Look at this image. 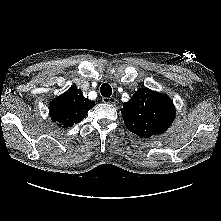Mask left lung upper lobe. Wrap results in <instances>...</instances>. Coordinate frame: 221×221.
Returning a JSON list of instances; mask_svg holds the SVG:
<instances>
[{
  "label": "left lung upper lobe",
  "mask_w": 221,
  "mask_h": 221,
  "mask_svg": "<svg viewBox=\"0 0 221 221\" xmlns=\"http://www.w3.org/2000/svg\"><path fill=\"white\" fill-rule=\"evenodd\" d=\"M121 113L129 131L140 137H150L170 127L175 107L168 96L142 88L123 104Z\"/></svg>",
  "instance_id": "5c2ea615"
}]
</instances>
